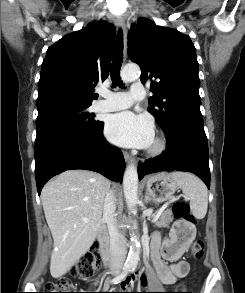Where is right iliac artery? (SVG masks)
I'll use <instances>...</instances> for the list:
<instances>
[{"instance_id": "1", "label": "right iliac artery", "mask_w": 245, "mask_h": 293, "mask_svg": "<svg viewBox=\"0 0 245 293\" xmlns=\"http://www.w3.org/2000/svg\"><path fill=\"white\" fill-rule=\"evenodd\" d=\"M129 272L128 268H123L122 272L116 276L115 278L112 279V283L117 284L119 283Z\"/></svg>"}]
</instances>
